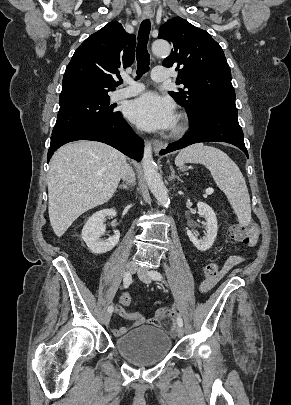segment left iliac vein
Segmentation results:
<instances>
[{
    "instance_id": "obj_1",
    "label": "left iliac vein",
    "mask_w": 291,
    "mask_h": 405,
    "mask_svg": "<svg viewBox=\"0 0 291 405\" xmlns=\"http://www.w3.org/2000/svg\"><path fill=\"white\" fill-rule=\"evenodd\" d=\"M137 274L139 276V278L144 282V283H150L151 282V277L149 275V270L147 268L144 267H140L137 270ZM184 334V329L182 326H178L177 328V336L178 337H182Z\"/></svg>"
}]
</instances>
